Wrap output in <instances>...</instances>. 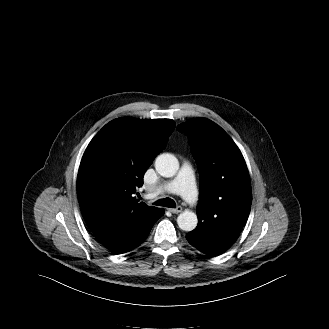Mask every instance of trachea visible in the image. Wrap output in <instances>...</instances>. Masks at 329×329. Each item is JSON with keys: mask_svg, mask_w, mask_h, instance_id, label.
I'll use <instances>...</instances> for the list:
<instances>
[{"mask_svg": "<svg viewBox=\"0 0 329 329\" xmlns=\"http://www.w3.org/2000/svg\"><path fill=\"white\" fill-rule=\"evenodd\" d=\"M154 204L157 206H164V207H169V208H174L176 206L175 201L168 197L159 199Z\"/></svg>", "mask_w": 329, "mask_h": 329, "instance_id": "obj_1", "label": "trachea"}]
</instances>
